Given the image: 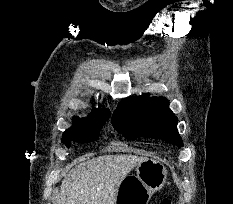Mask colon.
Wrapping results in <instances>:
<instances>
[{
  "instance_id": "1",
  "label": "colon",
  "mask_w": 233,
  "mask_h": 204,
  "mask_svg": "<svg viewBox=\"0 0 233 204\" xmlns=\"http://www.w3.org/2000/svg\"><path fill=\"white\" fill-rule=\"evenodd\" d=\"M159 204H171V202L168 198L164 197L159 201Z\"/></svg>"
}]
</instances>
